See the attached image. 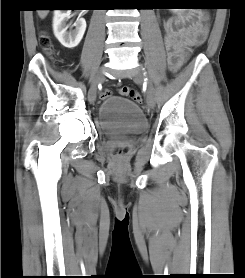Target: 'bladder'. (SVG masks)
<instances>
[{"label": "bladder", "mask_w": 245, "mask_h": 278, "mask_svg": "<svg viewBox=\"0 0 245 278\" xmlns=\"http://www.w3.org/2000/svg\"><path fill=\"white\" fill-rule=\"evenodd\" d=\"M97 123L106 136L135 135L147 128L142 109L120 96H109L101 102Z\"/></svg>", "instance_id": "1"}]
</instances>
